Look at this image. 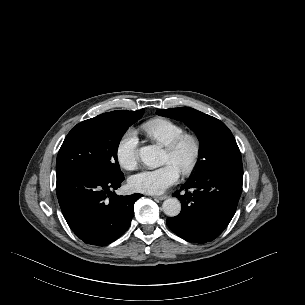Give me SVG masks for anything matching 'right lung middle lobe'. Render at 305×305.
I'll return each instance as SVG.
<instances>
[{"label": "right lung middle lobe", "mask_w": 305, "mask_h": 305, "mask_svg": "<svg viewBox=\"0 0 305 305\" xmlns=\"http://www.w3.org/2000/svg\"><path fill=\"white\" fill-rule=\"evenodd\" d=\"M143 113L144 109L112 111L77 124L59 150L56 173L75 171L101 178L122 174L116 153L118 143Z\"/></svg>", "instance_id": "1"}]
</instances>
